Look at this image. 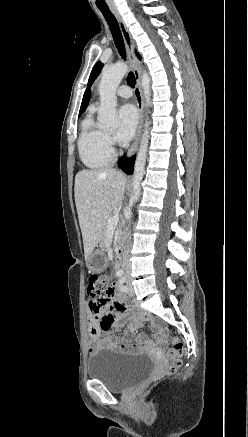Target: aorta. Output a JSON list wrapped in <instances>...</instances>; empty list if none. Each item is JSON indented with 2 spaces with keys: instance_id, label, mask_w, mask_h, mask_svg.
I'll use <instances>...</instances> for the list:
<instances>
[{
  "instance_id": "aorta-1",
  "label": "aorta",
  "mask_w": 248,
  "mask_h": 437,
  "mask_svg": "<svg viewBox=\"0 0 248 437\" xmlns=\"http://www.w3.org/2000/svg\"><path fill=\"white\" fill-rule=\"evenodd\" d=\"M128 72V65L125 63H117L116 65L105 69L102 73L99 84L100 108L98 111V121L106 127L115 128L118 125L116 113L117 97L116 90ZM141 85L143 88L146 106L150 100V77L146 72H143L141 77ZM148 119V118H147ZM145 121L140 147L136 156L134 173H133V201L137 202L141 195V181L145 173L146 154L149 144V121Z\"/></svg>"
}]
</instances>
